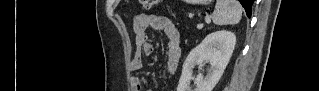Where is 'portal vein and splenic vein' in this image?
<instances>
[{
    "label": "portal vein and splenic vein",
    "instance_id": "portal-vein-and-splenic-vein-1",
    "mask_svg": "<svg viewBox=\"0 0 319 91\" xmlns=\"http://www.w3.org/2000/svg\"><path fill=\"white\" fill-rule=\"evenodd\" d=\"M205 21H206V22H210V18H206Z\"/></svg>",
    "mask_w": 319,
    "mask_h": 91
}]
</instances>
